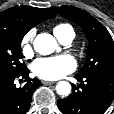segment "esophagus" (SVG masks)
Segmentation results:
<instances>
[{
    "label": "esophagus",
    "instance_id": "1",
    "mask_svg": "<svg viewBox=\"0 0 114 114\" xmlns=\"http://www.w3.org/2000/svg\"><path fill=\"white\" fill-rule=\"evenodd\" d=\"M54 83H55L54 81H47V80L42 81V84H44V85H51V84H54Z\"/></svg>",
    "mask_w": 114,
    "mask_h": 114
}]
</instances>
